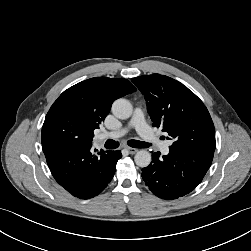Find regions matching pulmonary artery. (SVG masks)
I'll list each match as a JSON object with an SVG mask.
<instances>
[{
    "label": "pulmonary artery",
    "instance_id": "pulmonary-artery-1",
    "mask_svg": "<svg viewBox=\"0 0 251 251\" xmlns=\"http://www.w3.org/2000/svg\"><path fill=\"white\" fill-rule=\"evenodd\" d=\"M130 127H134L139 135L148 143L158 146L162 154L167 155L170 151V145L171 142H161L152 129L149 127V125L146 123L144 114L141 109L137 108L134 111L133 117L128 123L126 127H123L118 130L106 132L103 134L104 137L109 138H119L123 135H125Z\"/></svg>",
    "mask_w": 251,
    "mask_h": 251
}]
</instances>
